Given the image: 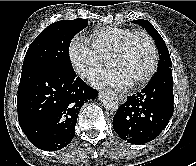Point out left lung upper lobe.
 I'll return each mask as SVG.
<instances>
[{
    "instance_id": "obj_1",
    "label": "left lung upper lobe",
    "mask_w": 196,
    "mask_h": 166,
    "mask_svg": "<svg viewBox=\"0 0 196 166\" xmlns=\"http://www.w3.org/2000/svg\"><path fill=\"white\" fill-rule=\"evenodd\" d=\"M134 22L143 26L156 42L160 58L157 71L165 68H171L172 62L170 59L168 48L160 34L153 27V25L147 20L143 19L134 20Z\"/></svg>"
}]
</instances>
